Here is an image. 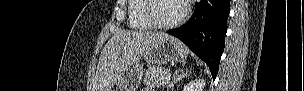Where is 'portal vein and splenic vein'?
I'll use <instances>...</instances> for the list:
<instances>
[{"label": "portal vein and splenic vein", "mask_w": 304, "mask_h": 91, "mask_svg": "<svg viewBox=\"0 0 304 91\" xmlns=\"http://www.w3.org/2000/svg\"><path fill=\"white\" fill-rule=\"evenodd\" d=\"M170 78H171V73H168L165 77V82L164 83L168 82L170 80Z\"/></svg>", "instance_id": "1"}]
</instances>
